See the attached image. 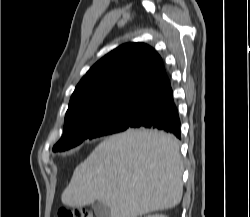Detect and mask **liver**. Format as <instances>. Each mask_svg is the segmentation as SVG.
<instances>
[{"label":"liver","mask_w":250,"mask_h":217,"mask_svg":"<svg viewBox=\"0 0 250 217\" xmlns=\"http://www.w3.org/2000/svg\"><path fill=\"white\" fill-rule=\"evenodd\" d=\"M179 141L156 130L128 129L102 141L74 170L64 205L96 201L111 217H137L178 205L183 193Z\"/></svg>","instance_id":"6515ba94"}]
</instances>
